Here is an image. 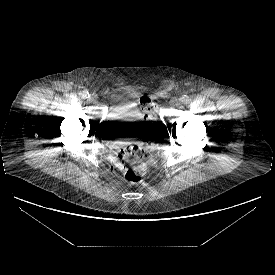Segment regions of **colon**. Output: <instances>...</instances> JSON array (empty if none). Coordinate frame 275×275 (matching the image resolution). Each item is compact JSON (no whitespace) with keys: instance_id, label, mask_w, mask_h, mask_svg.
I'll use <instances>...</instances> for the list:
<instances>
[{"instance_id":"5ec220e1","label":"colon","mask_w":275,"mask_h":275,"mask_svg":"<svg viewBox=\"0 0 275 275\" xmlns=\"http://www.w3.org/2000/svg\"><path fill=\"white\" fill-rule=\"evenodd\" d=\"M140 106L148 116L156 112V105L150 98L142 97L140 99ZM144 156V150L138 146H126L122 148L118 154L117 166L124 165V161L127 159H133L132 167L126 170L124 174L125 179L133 185H138L143 182L145 172Z\"/></svg>"}]
</instances>
